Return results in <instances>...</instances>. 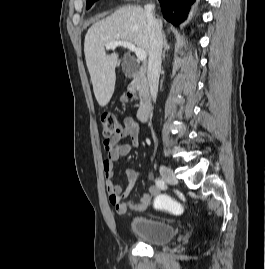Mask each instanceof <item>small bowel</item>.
<instances>
[{
  "instance_id": "obj_1",
  "label": "small bowel",
  "mask_w": 265,
  "mask_h": 269,
  "mask_svg": "<svg viewBox=\"0 0 265 269\" xmlns=\"http://www.w3.org/2000/svg\"><path fill=\"white\" fill-rule=\"evenodd\" d=\"M140 126L132 117H125L123 120L122 133L110 140L104 142L107 158L103 161L102 167L106 178L105 187L109 195V202L115 208L117 213L125 214L128 211L135 213H145L149 210L153 199L159 194L160 188L152 185L149 190L142 195L138 201H127L131 191L137 184L140 173L133 168L125 170L127 185L122 189L112 180L114 174V163L127 156L133 147L139 144ZM130 137L131 142L126 143L124 138Z\"/></svg>"
}]
</instances>
